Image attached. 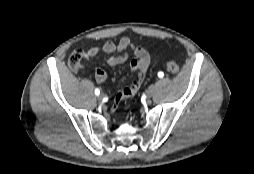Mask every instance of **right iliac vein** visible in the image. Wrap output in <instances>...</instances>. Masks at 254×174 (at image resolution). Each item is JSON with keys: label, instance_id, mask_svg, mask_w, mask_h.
I'll list each match as a JSON object with an SVG mask.
<instances>
[{"label": "right iliac vein", "instance_id": "1", "mask_svg": "<svg viewBox=\"0 0 254 174\" xmlns=\"http://www.w3.org/2000/svg\"><path fill=\"white\" fill-rule=\"evenodd\" d=\"M97 98H98L99 101H102L103 98H104V95L103 94H99Z\"/></svg>", "mask_w": 254, "mask_h": 174}]
</instances>
